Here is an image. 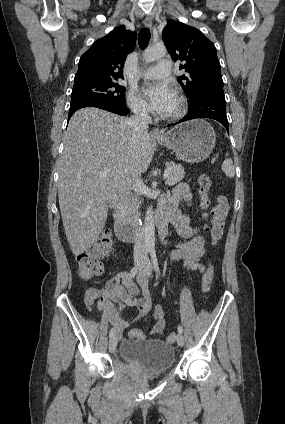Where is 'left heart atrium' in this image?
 <instances>
[{
  "mask_svg": "<svg viewBox=\"0 0 285 424\" xmlns=\"http://www.w3.org/2000/svg\"><path fill=\"white\" fill-rule=\"evenodd\" d=\"M143 93L149 101L150 108L159 114H164L168 110L175 97L174 90L164 82L147 84Z\"/></svg>",
  "mask_w": 285,
  "mask_h": 424,
  "instance_id": "left-heart-atrium-1",
  "label": "left heart atrium"
}]
</instances>
